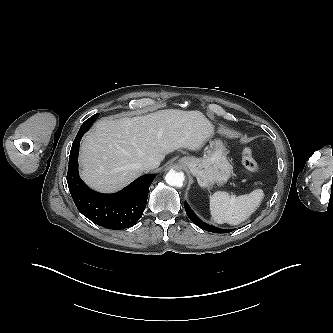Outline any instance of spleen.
Masks as SVG:
<instances>
[{
	"label": "spleen",
	"instance_id": "spleen-1",
	"mask_svg": "<svg viewBox=\"0 0 333 333\" xmlns=\"http://www.w3.org/2000/svg\"><path fill=\"white\" fill-rule=\"evenodd\" d=\"M263 197L264 193L261 189L238 197H231L227 192H215L210 197L212 218L219 224H240L255 212Z\"/></svg>",
	"mask_w": 333,
	"mask_h": 333
}]
</instances>
